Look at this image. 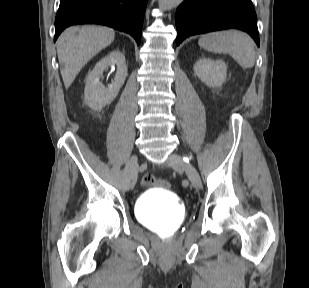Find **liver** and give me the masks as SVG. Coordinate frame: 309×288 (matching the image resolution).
<instances>
[{
    "label": "liver",
    "mask_w": 309,
    "mask_h": 288,
    "mask_svg": "<svg viewBox=\"0 0 309 288\" xmlns=\"http://www.w3.org/2000/svg\"><path fill=\"white\" fill-rule=\"evenodd\" d=\"M114 38L113 29L100 26L69 27L59 36L57 54L66 89L88 61L109 46Z\"/></svg>",
    "instance_id": "1"
}]
</instances>
